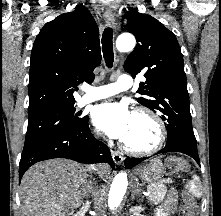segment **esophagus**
<instances>
[{"mask_svg":"<svg viewBox=\"0 0 221 216\" xmlns=\"http://www.w3.org/2000/svg\"><path fill=\"white\" fill-rule=\"evenodd\" d=\"M103 16H104V20L107 25L115 26V19H114V15L111 10H106L104 12ZM111 155H112V158H113V161L115 164L119 165L123 162L124 158L119 153H117L115 151H111Z\"/></svg>","mask_w":221,"mask_h":216,"instance_id":"1","label":"esophagus"}]
</instances>
